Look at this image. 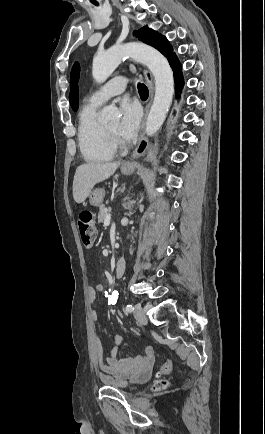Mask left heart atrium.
I'll return each instance as SVG.
<instances>
[{"label": "left heart atrium", "mask_w": 265, "mask_h": 434, "mask_svg": "<svg viewBox=\"0 0 265 434\" xmlns=\"http://www.w3.org/2000/svg\"><path fill=\"white\" fill-rule=\"evenodd\" d=\"M121 119L118 127L119 135L126 141L135 137L142 118V110L137 102L122 99L120 104Z\"/></svg>", "instance_id": "39dd6f15"}]
</instances>
